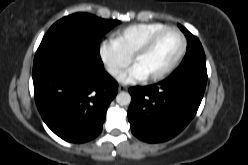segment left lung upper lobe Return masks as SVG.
Wrapping results in <instances>:
<instances>
[{"label":"left lung upper lobe","mask_w":248,"mask_h":165,"mask_svg":"<svg viewBox=\"0 0 248 165\" xmlns=\"http://www.w3.org/2000/svg\"><path fill=\"white\" fill-rule=\"evenodd\" d=\"M179 28L182 30V32L185 34L187 38V50L185 57L182 61V63L179 65V67L174 71L177 72L181 69H184L196 62H205V53L203 50V47L199 41V39L191 34L185 27L178 24Z\"/></svg>","instance_id":"5c2ea615"}]
</instances>
